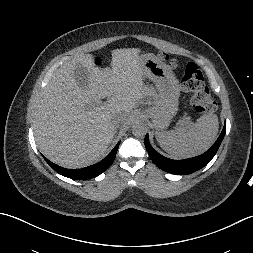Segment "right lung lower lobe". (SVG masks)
I'll use <instances>...</instances> for the list:
<instances>
[{
  "mask_svg": "<svg viewBox=\"0 0 253 253\" xmlns=\"http://www.w3.org/2000/svg\"><path fill=\"white\" fill-rule=\"evenodd\" d=\"M119 144L120 142H118V144L114 147V149L99 163L85 167V168L76 169V170L62 168L52 163L51 161L46 159L44 156L43 158L57 173L68 178H72L76 180H85V179H90V178L98 176L99 174H101L102 172H104L106 169L110 167V165L113 163L114 158L116 156Z\"/></svg>",
  "mask_w": 253,
  "mask_h": 253,
  "instance_id": "obj_1",
  "label": "right lung lower lobe"
}]
</instances>
